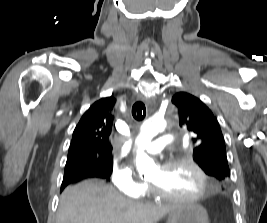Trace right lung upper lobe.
I'll return each instance as SVG.
<instances>
[{
	"label": "right lung upper lobe",
	"mask_w": 267,
	"mask_h": 223,
	"mask_svg": "<svg viewBox=\"0 0 267 223\" xmlns=\"http://www.w3.org/2000/svg\"><path fill=\"white\" fill-rule=\"evenodd\" d=\"M115 103L113 97L102 98L84 113L73 132L67 162L83 159L101 161L102 158L112 156L109 136Z\"/></svg>",
	"instance_id": "right-lung-upper-lobe-1"
}]
</instances>
